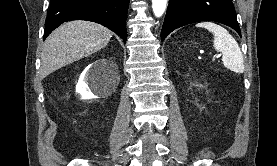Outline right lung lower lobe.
<instances>
[{"label": "right lung lower lobe", "mask_w": 277, "mask_h": 166, "mask_svg": "<svg viewBox=\"0 0 277 166\" xmlns=\"http://www.w3.org/2000/svg\"><path fill=\"white\" fill-rule=\"evenodd\" d=\"M128 5L129 0H51L45 21L44 40L63 22L81 19L109 28L126 42Z\"/></svg>", "instance_id": "right-lung-lower-lobe-1"}]
</instances>
